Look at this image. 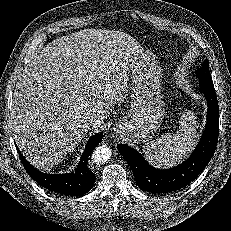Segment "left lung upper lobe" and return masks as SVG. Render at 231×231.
Here are the masks:
<instances>
[{"mask_svg":"<svg viewBox=\"0 0 231 231\" xmlns=\"http://www.w3.org/2000/svg\"><path fill=\"white\" fill-rule=\"evenodd\" d=\"M196 76L199 78V80L212 82V78L209 72V63L207 59L204 61L202 67L196 70Z\"/></svg>","mask_w":231,"mask_h":231,"instance_id":"left-lung-upper-lobe-1","label":"left lung upper lobe"}]
</instances>
